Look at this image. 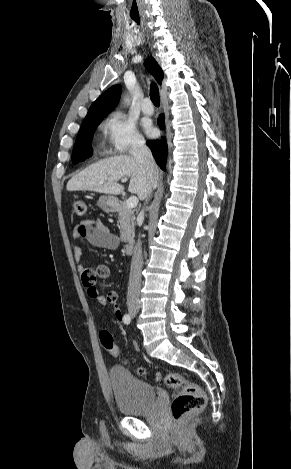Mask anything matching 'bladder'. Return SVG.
<instances>
[{
    "mask_svg": "<svg viewBox=\"0 0 291 469\" xmlns=\"http://www.w3.org/2000/svg\"><path fill=\"white\" fill-rule=\"evenodd\" d=\"M109 380L117 409L122 415L139 416L153 407L156 399L153 386L134 376L125 367H112Z\"/></svg>",
    "mask_w": 291,
    "mask_h": 469,
    "instance_id": "31cf9c89",
    "label": "bladder"
}]
</instances>
